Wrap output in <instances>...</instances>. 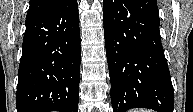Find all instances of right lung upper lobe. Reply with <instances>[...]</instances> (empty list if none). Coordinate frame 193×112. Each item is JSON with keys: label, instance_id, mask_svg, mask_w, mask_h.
Masks as SVG:
<instances>
[{"label": "right lung upper lobe", "instance_id": "obj_1", "mask_svg": "<svg viewBox=\"0 0 193 112\" xmlns=\"http://www.w3.org/2000/svg\"><path fill=\"white\" fill-rule=\"evenodd\" d=\"M60 1L61 0H30V7L26 19L51 9Z\"/></svg>", "mask_w": 193, "mask_h": 112}]
</instances>
